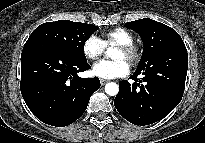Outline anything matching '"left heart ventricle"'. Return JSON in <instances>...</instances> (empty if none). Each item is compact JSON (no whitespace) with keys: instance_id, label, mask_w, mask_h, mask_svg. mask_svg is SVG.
<instances>
[{"instance_id":"left-heart-ventricle-1","label":"left heart ventricle","mask_w":205,"mask_h":143,"mask_svg":"<svg viewBox=\"0 0 205 143\" xmlns=\"http://www.w3.org/2000/svg\"><path fill=\"white\" fill-rule=\"evenodd\" d=\"M112 58L113 59H124V60H126V56H125V54H124V52L123 51H121L120 49H118V48H116L115 50H114V52H113V54H112Z\"/></svg>"}]
</instances>
